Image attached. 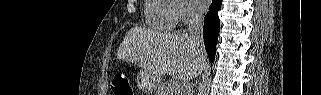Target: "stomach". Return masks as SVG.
Masks as SVG:
<instances>
[{"label":"stomach","mask_w":321,"mask_h":95,"mask_svg":"<svg viewBox=\"0 0 321 95\" xmlns=\"http://www.w3.org/2000/svg\"><path fill=\"white\" fill-rule=\"evenodd\" d=\"M137 85L143 91H153L157 85V79L146 71L141 70L137 76Z\"/></svg>","instance_id":"obj_1"}]
</instances>
